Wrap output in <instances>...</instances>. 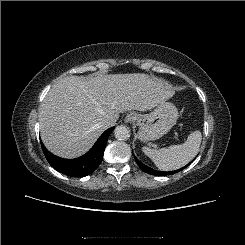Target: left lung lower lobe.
<instances>
[{
    "instance_id": "1",
    "label": "left lung lower lobe",
    "mask_w": 245,
    "mask_h": 245,
    "mask_svg": "<svg viewBox=\"0 0 245 245\" xmlns=\"http://www.w3.org/2000/svg\"><path fill=\"white\" fill-rule=\"evenodd\" d=\"M137 164L139 165V167L146 173H149V174H152V175H158V176H164V175H168V174H174L175 172H178L182 169H179V170H176V171H171V172H160V171H156V170H153L145 165H143L140 161H138L136 158H135ZM190 164V163H189ZM189 164H187L185 167H187ZM183 167V168H185Z\"/></svg>"
}]
</instances>
